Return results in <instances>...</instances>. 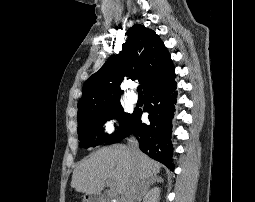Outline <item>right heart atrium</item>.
<instances>
[{
	"label": "right heart atrium",
	"instance_id": "obj_1",
	"mask_svg": "<svg viewBox=\"0 0 255 202\" xmlns=\"http://www.w3.org/2000/svg\"><path fill=\"white\" fill-rule=\"evenodd\" d=\"M103 131L107 135L113 134L117 129V120L113 117L106 118L103 121Z\"/></svg>",
	"mask_w": 255,
	"mask_h": 202
}]
</instances>
